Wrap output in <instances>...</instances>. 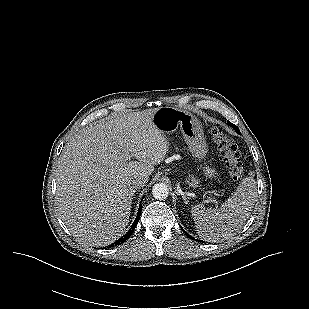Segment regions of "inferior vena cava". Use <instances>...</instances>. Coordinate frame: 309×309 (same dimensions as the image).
Segmentation results:
<instances>
[{
  "mask_svg": "<svg viewBox=\"0 0 309 309\" xmlns=\"http://www.w3.org/2000/svg\"><path fill=\"white\" fill-rule=\"evenodd\" d=\"M147 182L148 180L146 177L140 176L132 179L130 184L134 189H140L141 187H144Z\"/></svg>",
  "mask_w": 309,
  "mask_h": 309,
  "instance_id": "602c4592",
  "label": "inferior vena cava"
}]
</instances>
